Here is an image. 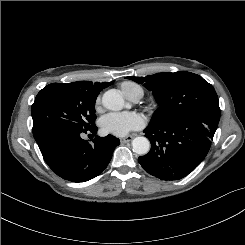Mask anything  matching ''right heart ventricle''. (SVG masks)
<instances>
[{
    "instance_id": "right-heart-ventricle-1",
    "label": "right heart ventricle",
    "mask_w": 245,
    "mask_h": 245,
    "mask_svg": "<svg viewBox=\"0 0 245 245\" xmlns=\"http://www.w3.org/2000/svg\"><path fill=\"white\" fill-rule=\"evenodd\" d=\"M120 89L122 93L129 99L136 94L143 95L142 87L131 81L122 82L120 84Z\"/></svg>"
}]
</instances>
